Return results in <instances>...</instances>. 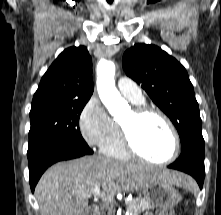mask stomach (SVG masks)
Wrapping results in <instances>:
<instances>
[{"instance_id": "0dacf381", "label": "stomach", "mask_w": 221, "mask_h": 215, "mask_svg": "<svg viewBox=\"0 0 221 215\" xmlns=\"http://www.w3.org/2000/svg\"><path fill=\"white\" fill-rule=\"evenodd\" d=\"M144 200L154 207L171 208L178 204L181 195L175 186L164 180H152L143 186Z\"/></svg>"}]
</instances>
